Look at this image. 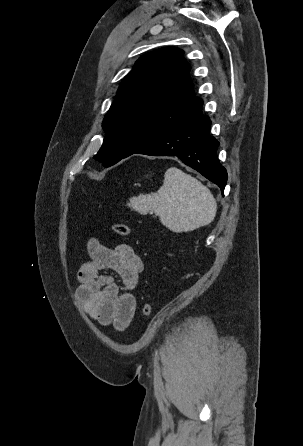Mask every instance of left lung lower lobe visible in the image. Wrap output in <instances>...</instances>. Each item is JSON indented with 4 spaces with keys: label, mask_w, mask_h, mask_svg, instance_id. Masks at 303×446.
Returning <instances> with one entry per match:
<instances>
[{
    "label": "left lung lower lobe",
    "mask_w": 303,
    "mask_h": 446,
    "mask_svg": "<svg viewBox=\"0 0 303 446\" xmlns=\"http://www.w3.org/2000/svg\"><path fill=\"white\" fill-rule=\"evenodd\" d=\"M202 104L203 100L199 99L172 131L133 154L177 156L218 185L223 193L227 172L218 160L219 142L209 134L211 121L202 113Z\"/></svg>",
    "instance_id": "0a47b994"
}]
</instances>
